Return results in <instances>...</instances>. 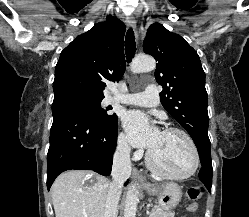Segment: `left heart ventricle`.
<instances>
[{"mask_svg":"<svg viewBox=\"0 0 249 217\" xmlns=\"http://www.w3.org/2000/svg\"><path fill=\"white\" fill-rule=\"evenodd\" d=\"M150 150L157 166L168 173L184 174L193 165L192 149L181 134L161 132Z\"/></svg>","mask_w":249,"mask_h":217,"instance_id":"left-heart-ventricle-1","label":"left heart ventricle"}]
</instances>
